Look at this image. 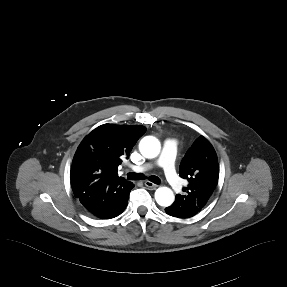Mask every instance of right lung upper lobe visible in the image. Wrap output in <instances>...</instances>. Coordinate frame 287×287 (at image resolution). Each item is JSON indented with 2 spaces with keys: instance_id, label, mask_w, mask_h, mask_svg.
<instances>
[{
  "instance_id": "obj_1",
  "label": "right lung upper lobe",
  "mask_w": 287,
  "mask_h": 287,
  "mask_svg": "<svg viewBox=\"0 0 287 287\" xmlns=\"http://www.w3.org/2000/svg\"><path fill=\"white\" fill-rule=\"evenodd\" d=\"M146 128L139 125L104 124L91 131L80 143L74 155L70 179L75 197L82 198L87 188L97 180L111 181L118 177L117 170L123 158Z\"/></svg>"
}]
</instances>
